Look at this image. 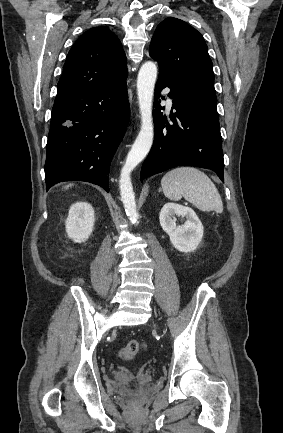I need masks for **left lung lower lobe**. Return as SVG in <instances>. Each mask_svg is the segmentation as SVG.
<instances>
[{
  "label": "left lung lower lobe",
  "instance_id": "left-lung-lower-lobe-1",
  "mask_svg": "<svg viewBox=\"0 0 283 433\" xmlns=\"http://www.w3.org/2000/svg\"><path fill=\"white\" fill-rule=\"evenodd\" d=\"M165 87L170 88L169 96L173 102L171 122L160 112L164 107L157 102ZM186 97L185 84L159 73L154 96L155 139L142 165L141 181L173 167L195 166L215 171L224 182L219 120L188 107Z\"/></svg>",
  "mask_w": 283,
  "mask_h": 433
}]
</instances>
